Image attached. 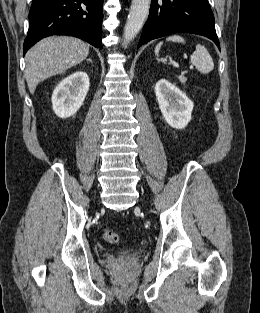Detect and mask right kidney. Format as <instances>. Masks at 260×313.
Masks as SVG:
<instances>
[{"label":"right kidney","instance_id":"ca27d5eb","mask_svg":"<svg viewBox=\"0 0 260 313\" xmlns=\"http://www.w3.org/2000/svg\"><path fill=\"white\" fill-rule=\"evenodd\" d=\"M89 77L86 72L79 70L64 78L54 89L52 106L60 118L74 115L82 106L89 90Z\"/></svg>","mask_w":260,"mask_h":313}]
</instances>
